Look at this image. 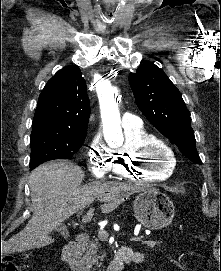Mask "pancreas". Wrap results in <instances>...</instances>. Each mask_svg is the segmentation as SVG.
Listing matches in <instances>:
<instances>
[{
  "mask_svg": "<svg viewBox=\"0 0 221 271\" xmlns=\"http://www.w3.org/2000/svg\"><path fill=\"white\" fill-rule=\"evenodd\" d=\"M139 244H143V247H163V242L161 239H139ZM98 245L96 241H91L89 245H85L83 249V253L80 257L81 261L85 263V265H94V263H98V259L103 261V257L105 255H98Z\"/></svg>",
  "mask_w": 221,
  "mask_h": 271,
  "instance_id": "cf45deb5",
  "label": "pancreas"
}]
</instances>
